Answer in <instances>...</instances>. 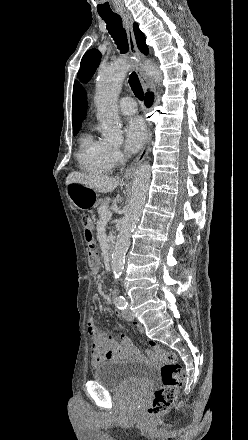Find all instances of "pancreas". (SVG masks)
<instances>
[{
    "instance_id": "1",
    "label": "pancreas",
    "mask_w": 248,
    "mask_h": 440,
    "mask_svg": "<svg viewBox=\"0 0 248 440\" xmlns=\"http://www.w3.org/2000/svg\"><path fill=\"white\" fill-rule=\"evenodd\" d=\"M109 203H110V199L109 198H105V199H100L98 201V214L101 215V212L103 210V208L109 209Z\"/></svg>"
}]
</instances>
